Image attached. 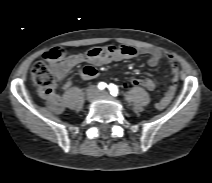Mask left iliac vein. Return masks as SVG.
<instances>
[{"label":"left iliac vein","mask_w":212,"mask_h":183,"mask_svg":"<svg viewBox=\"0 0 212 183\" xmlns=\"http://www.w3.org/2000/svg\"><path fill=\"white\" fill-rule=\"evenodd\" d=\"M100 94L101 95H107V93L105 91H102Z\"/></svg>","instance_id":"obj_1"}]
</instances>
